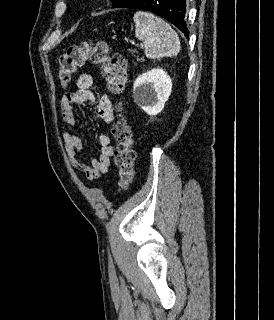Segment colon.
<instances>
[{
	"mask_svg": "<svg viewBox=\"0 0 274 320\" xmlns=\"http://www.w3.org/2000/svg\"><path fill=\"white\" fill-rule=\"evenodd\" d=\"M101 66L111 91L121 92L127 84V68L122 57L111 53L103 42L70 46L57 61L58 78L63 84L72 81L77 70L86 62ZM113 134L117 141L115 160L118 167L120 188L127 187L134 177V146L132 129L128 120L120 116L114 124Z\"/></svg>",
	"mask_w": 274,
	"mask_h": 320,
	"instance_id": "obj_1",
	"label": "colon"
}]
</instances>
